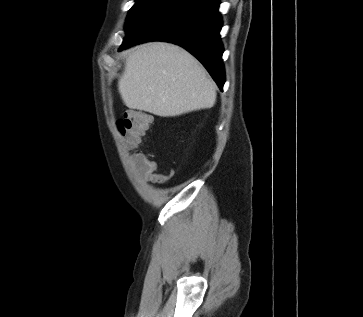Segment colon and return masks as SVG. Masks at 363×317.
<instances>
[{
	"label": "colon",
	"instance_id": "colon-1",
	"mask_svg": "<svg viewBox=\"0 0 363 317\" xmlns=\"http://www.w3.org/2000/svg\"><path fill=\"white\" fill-rule=\"evenodd\" d=\"M152 117L141 111L126 110L123 117L117 120V129L128 149L139 145L143 136L149 131ZM139 154L134 155L133 159Z\"/></svg>",
	"mask_w": 363,
	"mask_h": 317
}]
</instances>
